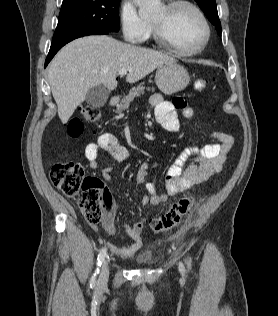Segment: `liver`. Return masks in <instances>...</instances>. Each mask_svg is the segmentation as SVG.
Returning a JSON list of instances; mask_svg holds the SVG:
<instances>
[{
	"instance_id": "liver-1",
	"label": "liver",
	"mask_w": 278,
	"mask_h": 316,
	"mask_svg": "<svg viewBox=\"0 0 278 316\" xmlns=\"http://www.w3.org/2000/svg\"><path fill=\"white\" fill-rule=\"evenodd\" d=\"M174 59L160 51L126 44L109 36L92 35L63 47L48 68V81L62 123H67L87 92L100 84L117 87V75L128 70L126 81L135 83L158 66Z\"/></svg>"
}]
</instances>
